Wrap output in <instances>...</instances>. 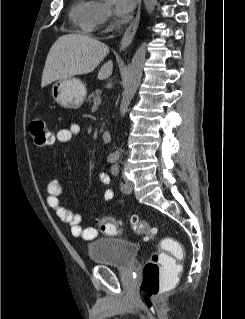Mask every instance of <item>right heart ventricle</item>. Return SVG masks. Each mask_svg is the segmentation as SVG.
Masks as SVG:
<instances>
[{"label":"right heart ventricle","mask_w":245,"mask_h":319,"mask_svg":"<svg viewBox=\"0 0 245 319\" xmlns=\"http://www.w3.org/2000/svg\"><path fill=\"white\" fill-rule=\"evenodd\" d=\"M102 4L97 0H76L71 7L70 17L84 33H94L100 22Z\"/></svg>","instance_id":"e07e8e85"}]
</instances>
